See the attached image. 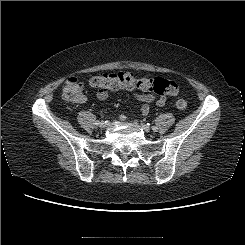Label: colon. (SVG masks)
I'll list each match as a JSON object with an SVG mask.
<instances>
[{
    "label": "colon",
    "mask_w": 245,
    "mask_h": 245,
    "mask_svg": "<svg viewBox=\"0 0 245 245\" xmlns=\"http://www.w3.org/2000/svg\"><path fill=\"white\" fill-rule=\"evenodd\" d=\"M90 85L100 91H113L118 89H140L153 91L163 96H173L179 91L176 82L162 77H136L130 72L105 73L94 76ZM63 98L71 103H76L83 98V85L75 77L69 78L63 86ZM179 110L187 108V102L179 99L176 102Z\"/></svg>",
    "instance_id": "colon-1"
}]
</instances>
